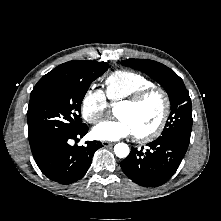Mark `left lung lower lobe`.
Instances as JSON below:
<instances>
[{"instance_id": "0a47b994", "label": "left lung lower lobe", "mask_w": 221, "mask_h": 221, "mask_svg": "<svg viewBox=\"0 0 221 221\" xmlns=\"http://www.w3.org/2000/svg\"><path fill=\"white\" fill-rule=\"evenodd\" d=\"M187 143L164 137L149 143L143 151L133 148L120 163L127 177L146 187H157L167 182L178 169L188 148Z\"/></svg>"}]
</instances>
